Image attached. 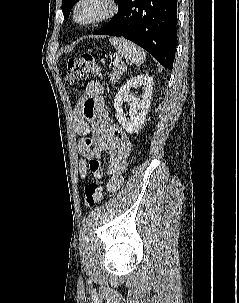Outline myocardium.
<instances>
[{
    "instance_id": "obj_1",
    "label": "myocardium",
    "mask_w": 239,
    "mask_h": 303,
    "mask_svg": "<svg viewBox=\"0 0 239 303\" xmlns=\"http://www.w3.org/2000/svg\"><path fill=\"white\" fill-rule=\"evenodd\" d=\"M86 1L87 0H78L73 8V20L75 23L81 26H91L110 20L118 14L120 9L118 0H101V2H103L105 5L104 10L97 16L83 21L79 19L78 15L81 5H83Z\"/></svg>"
}]
</instances>
